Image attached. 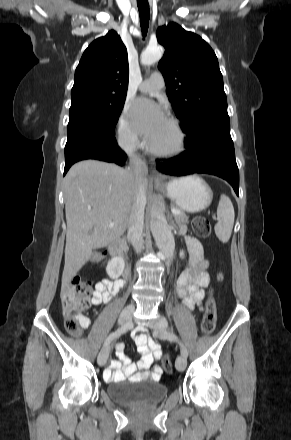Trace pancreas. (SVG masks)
Segmentation results:
<instances>
[{
    "mask_svg": "<svg viewBox=\"0 0 291 440\" xmlns=\"http://www.w3.org/2000/svg\"><path fill=\"white\" fill-rule=\"evenodd\" d=\"M174 219L178 224L188 223V217L183 212L181 215H174Z\"/></svg>",
    "mask_w": 291,
    "mask_h": 440,
    "instance_id": "pancreas-1",
    "label": "pancreas"
}]
</instances>
